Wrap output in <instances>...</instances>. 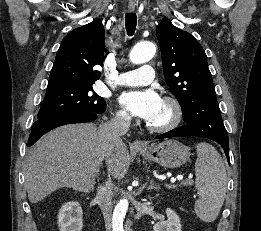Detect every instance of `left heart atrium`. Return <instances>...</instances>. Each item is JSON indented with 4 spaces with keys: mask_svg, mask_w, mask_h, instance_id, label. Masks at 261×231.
I'll use <instances>...</instances> for the list:
<instances>
[{
    "mask_svg": "<svg viewBox=\"0 0 261 231\" xmlns=\"http://www.w3.org/2000/svg\"><path fill=\"white\" fill-rule=\"evenodd\" d=\"M120 102L133 115L150 121L159 109L162 100L154 90L145 89L123 93Z\"/></svg>",
    "mask_w": 261,
    "mask_h": 231,
    "instance_id": "39dd6f15",
    "label": "left heart atrium"
}]
</instances>
